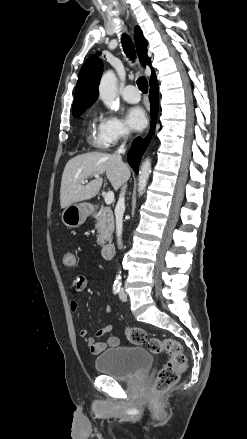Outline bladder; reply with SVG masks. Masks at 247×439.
I'll return each instance as SVG.
<instances>
[{
    "label": "bladder",
    "instance_id": "bladder-1",
    "mask_svg": "<svg viewBox=\"0 0 247 439\" xmlns=\"http://www.w3.org/2000/svg\"><path fill=\"white\" fill-rule=\"evenodd\" d=\"M151 354L141 347L119 346L107 349L95 359L96 370L121 381H132L152 365Z\"/></svg>",
    "mask_w": 247,
    "mask_h": 439
}]
</instances>
